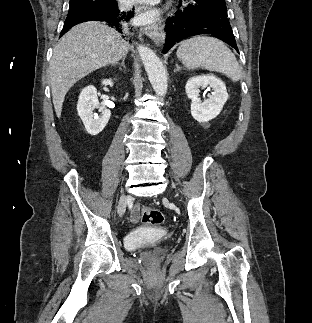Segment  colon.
Segmentation results:
<instances>
[{"mask_svg": "<svg viewBox=\"0 0 312 323\" xmlns=\"http://www.w3.org/2000/svg\"><path fill=\"white\" fill-rule=\"evenodd\" d=\"M141 220L144 223L152 225H160L164 221V214L158 209H153L148 206H142L140 208ZM156 267V264H153Z\"/></svg>", "mask_w": 312, "mask_h": 323, "instance_id": "colon-1", "label": "colon"}]
</instances>
